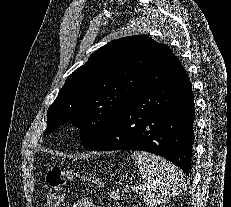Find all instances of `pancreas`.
<instances>
[{
    "instance_id": "pancreas-1",
    "label": "pancreas",
    "mask_w": 231,
    "mask_h": 207,
    "mask_svg": "<svg viewBox=\"0 0 231 207\" xmlns=\"http://www.w3.org/2000/svg\"><path fill=\"white\" fill-rule=\"evenodd\" d=\"M109 195L113 200H120L119 193L117 191H110Z\"/></svg>"
}]
</instances>
